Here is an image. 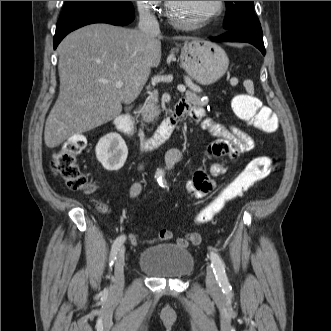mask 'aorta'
<instances>
[{
	"mask_svg": "<svg viewBox=\"0 0 331 331\" xmlns=\"http://www.w3.org/2000/svg\"><path fill=\"white\" fill-rule=\"evenodd\" d=\"M157 175H158V176L161 175V172L159 171V172L157 173Z\"/></svg>",
	"mask_w": 331,
	"mask_h": 331,
	"instance_id": "1",
	"label": "aorta"
}]
</instances>
